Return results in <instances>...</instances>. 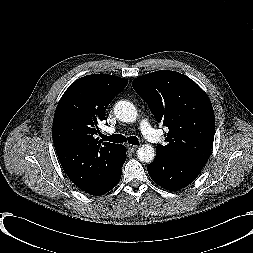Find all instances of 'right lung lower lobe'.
<instances>
[{
	"instance_id": "98d812e1",
	"label": "right lung lower lobe",
	"mask_w": 253,
	"mask_h": 253,
	"mask_svg": "<svg viewBox=\"0 0 253 253\" xmlns=\"http://www.w3.org/2000/svg\"><path fill=\"white\" fill-rule=\"evenodd\" d=\"M126 160V149L123 145H121V155L118 166L115 170L95 189L87 192L91 195H102L110 191L114 188L118 182L120 181L121 174H122V166Z\"/></svg>"
}]
</instances>
